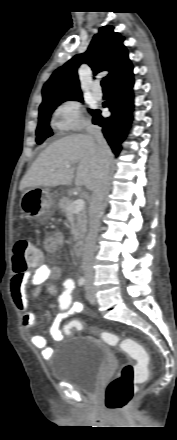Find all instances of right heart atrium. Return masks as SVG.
I'll use <instances>...</instances> for the list:
<instances>
[{"mask_svg":"<svg viewBox=\"0 0 177 440\" xmlns=\"http://www.w3.org/2000/svg\"><path fill=\"white\" fill-rule=\"evenodd\" d=\"M53 124L65 132L80 131L88 127L82 115L81 105L75 100L64 101L54 110Z\"/></svg>","mask_w":177,"mask_h":440,"instance_id":"right-heart-atrium-1","label":"right heart atrium"}]
</instances>
